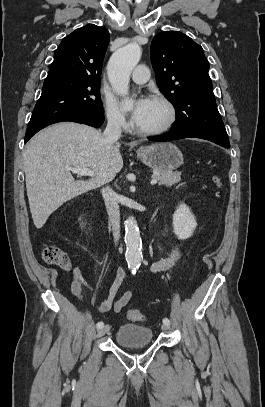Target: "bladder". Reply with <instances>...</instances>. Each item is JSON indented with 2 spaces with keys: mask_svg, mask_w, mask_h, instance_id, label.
Masks as SVG:
<instances>
[{
  "mask_svg": "<svg viewBox=\"0 0 265 407\" xmlns=\"http://www.w3.org/2000/svg\"><path fill=\"white\" fill-rule=\"evenodd\" d=\"M153 331L149 327L133 323L123 324L115 334L117 344L126 347L147 345L152 341Z\"/></svg>",
  "mask_w": 265,
  "mask_h": 407,
  "instance_id": "obj_1",
  "label": "bladder"
}]
</instances>
